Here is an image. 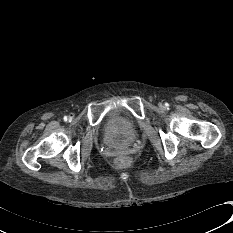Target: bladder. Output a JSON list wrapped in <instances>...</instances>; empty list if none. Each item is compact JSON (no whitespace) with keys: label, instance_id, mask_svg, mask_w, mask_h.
Instances as JSON below:
<instances>
[{"label":"bladder","instance_id":"31cf9c89","mask_svg":"<svg viewBox=\"0 0 233 233\" xmlns=\"http://www.w3.org/2000/svg\"><path fill=\"white\" fill-rule=\"evenodd\" d=\"M102 132L112 146L126 148L134 139L137 126L129 117L121 113H111L103 123Z\"/></svg>","mask_w":233,"mask_h":233}]
</instances>
